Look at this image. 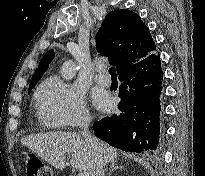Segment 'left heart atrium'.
<instances>
[{"instance_id": "1", "label": "left heart atrium", "mask_w": 205, "mask_h": 176, "mask_svg": "<svg viewBox=\"0 0 205 176\" xmlns=\"http://www.w3.org/2000/svg\"><path fill=\"white\" fill-rule=\"evenodd\" d=\"M96 105L101 109H107L111 105V100L102 94H98L95 97Z\"/></svg>"}]
</instances>
